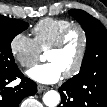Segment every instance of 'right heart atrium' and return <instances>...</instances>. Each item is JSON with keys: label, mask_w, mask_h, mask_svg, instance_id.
Returning a JSON list of instances; mask_svg holds the SVG:
<instances>
[{"label": "right heart atrium", "mask_w": 107, "mask_h": 107, "mask_svg": "<svg viewBox=\"0 0 107 107\" xmlns=\"http://www.w3.org/2000/svg\"><path fill=\"white\" fill-rule=\"evenodd\" d=\"M10 51L16 62L24 68L32 67L40 55L35 40L25 33H18L11 39Z\"/></svg>", "instance_id": "right-heart-atrium-1"}]
</instances>
